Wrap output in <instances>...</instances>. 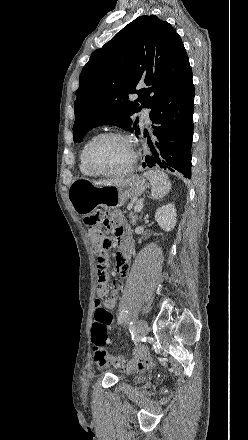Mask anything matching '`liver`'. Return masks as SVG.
I'll return each instance as SVG.
<instances>
[{
  "label": "liver",
  "instance_id": "liver-1",
  "mask_svg": "<svg viewBox=\"0 0 248 440\" xmlns=\"http://www.w3.org/2000/svg\"><path fill=\"white\" fill-rule=\"evenodd\" d=\"M123 180H109V181H100V182H93L94 184H96V185H111V184H114V183H119V182H122Z\"/></svg>",
  "mask_w": 248,
  "mask_h": 440
}]
</instances>
